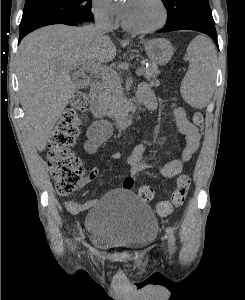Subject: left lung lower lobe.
Segmentation results:
<instances>
[{
    "label": "left lung lower lobe",
    "mask_w": 245,
    "mask_h": 300,
    "mask_svg": "<svg viewBox=\"0 0 245 300\" xmlns=\"http://www.w3.org/2000/svg\"><path fill=\"white\" fill-rule=\"evenodd\" d=\"M175 30H194L202 32L210 36L218 47L217 33L215 29V23L194 19V18H183L177 23L172 25H166L165 28L158 30L157 32H169Z\"/></svg>",
    "instance_id": "1"
}]
</instances>
